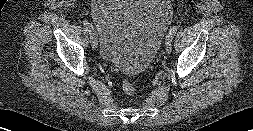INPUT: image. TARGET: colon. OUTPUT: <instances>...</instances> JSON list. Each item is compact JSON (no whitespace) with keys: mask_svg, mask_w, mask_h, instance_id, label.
Segmentation results:
<instances>
[{"mask_svg":"<svg viewBox=\"0 0 253 131\" xmlns=\"http://www.w3.org/2000/svg\"><path fill=\"white\" fill-rule=\"evenodd\" d=\"M122 89H123L124 93L128 96L135 95V92H136L135 87L129 80L124 79L122 81Z\"/></svg>","mask_w":253,"mask_h":131,"instance_id":"obj_1","label":"colon"}]
</instances>
